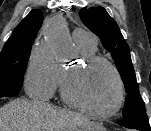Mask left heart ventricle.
Masks as SVG:
<instances>
[{
    "mask_svg": "<svg viewBox=\"0 0 151 131\" xmlns=\"http://www.w3.org/2000/svg\"><path fill=\"white\" fill-rule=\"evenodd\" d=\"M71 88L79 100L99 112L110 110L117 99L116 80L103 64L85 69L72 81Z\"/></svg>",
    "mask_w": 151,
    "mask_h": 131,
    "instance_id": "left-heart-ventricle-1",
    "label": "left heart ventricle"
}]
</instances>
